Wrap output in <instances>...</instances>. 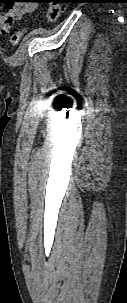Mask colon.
Returning a JSON list of instances; mask_svg holds the SVG:
<instances>
[{"label":"colon","mask_w":127,"mask_h":303,"mask_svg":"<svg viewBox=\"0 0 127 303\" xmlns=\"http://www.w3.org/2000/svg\"><path fill=\"white\" fill-rule=\"evenodd\" d=\"M49 6H48V11H47V16L49 22L53 23L56 22L61 14V6L59 5L57 0H48ZM23 32L22 31H17L14 34L11 35L10 41L13 45L17 44L18 41L20 40Z\"/></svg>","instance_id":"1"}]
</instances>
